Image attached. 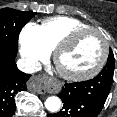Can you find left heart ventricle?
Here are the masks:
<instances>
[{
  "mask_svg": "<svg viewBox=\"0 0 117 117\" xmlns=\"http://www.w3.org/2000/svg\"><path fill=\"white\" fill-rule=\"evenodd\" d=\"M103 53V43L99 35L85 33L62 53L59 66L69 73H82L93 68Z\"/></svg>",
  "mask_w": 117,
  "mask_h": 117,
  "instance_id": "1",
  "label": "left heart ventricle"
}]
</instances>
